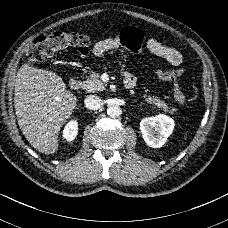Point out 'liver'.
Here are the masks:
<instances>
[{
    "label": "liver",
    "mask_w": 228,
    "mask_h": 228,
    "mask_svg": "<svg viewBox=\"0 0 228 228\" xmlns=\"http://www.w3.org/2000/svg\"><path fill=\"white\" fill-rule=\"evenodd\" d=\"M14 97L18 126L26 140L43 154L56 153L60 132L78 104L76 96L56 74L24 64Z\"/></svg>",
    "instance_id": "1"
}]
</instances>
